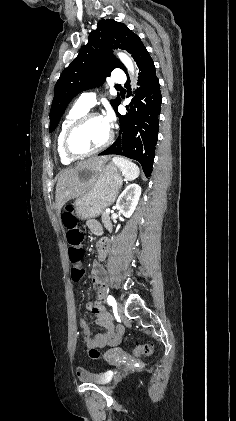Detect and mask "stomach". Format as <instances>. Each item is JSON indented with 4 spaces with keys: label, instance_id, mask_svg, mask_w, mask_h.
<instances>
[{
    "label": "stomach",
    "instance_id": "1",
    "mask_svg": "<svg viewBox=\"0 0 236 421\" xmlns=\"http://www.w3.org/2000/svg\"><path fill=\"white\" fill-rule=\"evenodd\" d=\"M79 178L83 184L79 196L74 200L77 219H95L104 208L113 204L122 186L123 178L115 162L102 166H84L79 170Z\"/></svg>",
    "mask_w": 236,
    "mask_h": 421
}]
</instances>
